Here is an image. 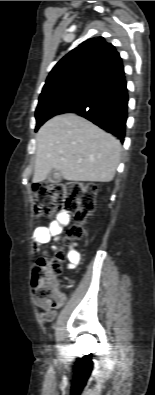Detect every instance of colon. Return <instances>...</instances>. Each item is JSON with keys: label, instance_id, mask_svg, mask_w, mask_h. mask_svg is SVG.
<instances>
[{"label": "colon", "instance_id": "5ec220e1", "mask_svg": "<svg viewBox=\"0 0 155 395\" xmlns=\"http://www.w3.org/2000/svg\"><path fill=\"white\" fill-rule=\"evenodd\" d=\"M96 195V186L87 182L36 184L34 213L37 217H45L58 207L71 212L76 222L67 230L65 242L76 241L84 234L83 225L94 210ZM64 258L61 250L46 252L32 270L34 302L43 309L55 308L64 302L63 295L57 289V275L61 271Z\"/></svg>", "mask_w": 155, "mask_h": 395}]
</instances>
